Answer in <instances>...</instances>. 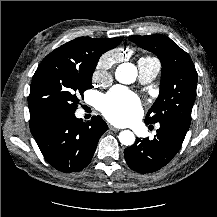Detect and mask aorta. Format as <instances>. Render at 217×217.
I'll list each match as a JSON object with an SVG mask.
<instances>
[{
    "label": "aorta",
    "mask_w": 217,
    "mask_h": 217,
    "mask_svg": "<svg viewBox=\"0 0 217 217\" xmlns=\"http://www.w3.org/2000/svg\"><path fill=\"white\" fill-rule=\"evenodd\" d=\"M115 78L122 84H131L137 78V68L132 63H122L115 71ZM119 141L126 146H131L135 142V135L130 130H124L119 134Z\"/></svg>",
    "instance_id": "762f6f07"
}]
</instances>
